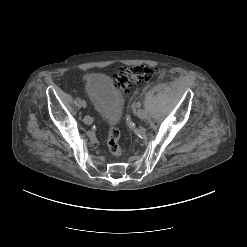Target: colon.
Listing matches in <instances>:
<instances>
[{"label":"colon","mask_w":247,"mask_h":247,"mask_svg":"<svg viewBox=\"0 0 247 247\" xmlns=\"http://www.w3.org/2000/svg\"><path fill=\"white\" fill-rule=\"evenodd\" d=\"M156 74V69L145 65L122 67L115 73V84L123 93L128 94L134 85L150 81ZM119 140L120 130L117 126H112L108 133L107 147L114 157H119L122 153Z\"/></svg>","instance_id":"1"}]
</instances>
